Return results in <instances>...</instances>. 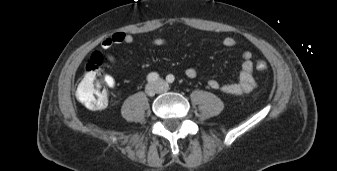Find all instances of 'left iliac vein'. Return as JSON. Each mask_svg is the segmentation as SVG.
Here are the masks:
<instances>
[{
	"instance_id": "4c4485c4",
	"label": "left iliac vein",
	"mask_w": 337,
	"mask_h": 171,
	"mask_svg": "<svg viewBox=\"0 0 337 171\" xmlns=\"http://www.w3.org/2000/svg\"><path fill=\"white\" fill-rule=\"evenodd\" d=\"M156 85H158L160 92H164L167 90V86L162 79L157 80Z\"/></svg>"
}]
</instances>
